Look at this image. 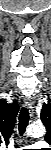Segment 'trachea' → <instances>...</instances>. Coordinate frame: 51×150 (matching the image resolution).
Here are the masks:
<instances>
[{"label":"trachea","instance_id":"1","mask_svg":"<svg viewBox=\"0 0 51 150\" xmlns=\"http://www.w3.org/2000/svg\"><path fill=\"white\" fill-rule=\"evenodd\" d=\"M29 123L28 109L23 107L19 115V134L22 136L25 133L26 127Z\"/></svg>","mask_w":51,"mask_h":150}]
</instances>
